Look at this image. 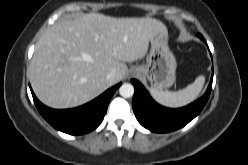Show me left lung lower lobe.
<instances>
[{
  "instance_id": "left-lung-lower-lobe-1",
  "label": "left lung lower lobe",
  "mask_w": 248,
  "mask_h": 165,
  "mask_svg": "<svg viewBox=\"0 0 248 165\" xmlns=\"http://www.w3.org/2000/svg\"><path fill=\"white\" fill-rule=\"evenodd\" d=\"M203 42L201 34L197 35ZM213 73L206 93L194 103L179 109L165 108L157 104L146 89L135 79L132 100L133 111L139 123L152 132L166 133L177 130L194 119L207 103L212 88Z\"/></svg>"
}]
</instances>
